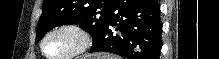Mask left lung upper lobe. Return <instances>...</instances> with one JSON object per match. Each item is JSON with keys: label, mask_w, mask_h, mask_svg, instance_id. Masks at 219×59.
<instances>
[{"label": "left lung upper lobe", "mask_w": 219, "mask_h": 59, "mask_svg": "<svg viewBox=\"0 0 219 59\" xmlns=\"http://www.w3.org/2000/svg\"><path fill=\"white\" fill-rule=\"evenodd\" d=\"M114 0H44L36 42L53 27L80 22L93 38L100 37Z\"/></svg>", "instance_id": "1"}]
</instances>
